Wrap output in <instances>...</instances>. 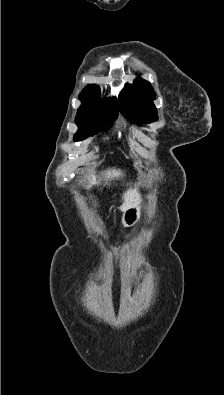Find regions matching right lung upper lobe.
Returning a JSON list of instances; mask_svg holds the SVG:
<instances>
[{"mask_svg":"<svg viewBox=\"0 0 224 395\" xmlns=\"http://www.w3.org/2000/svg\"><path fill=\"white\" fill-rule=\"evenodd\" d=\"M79 98L83 103L91 107L118 111L116 99L107 98L101 100L100 90L96 85L86 86Z\"/></svg>","mask_w":224,"mask_h":395,"instance_id":"cb5924a9","label":"right lung upper lobe"}]
</instances>
